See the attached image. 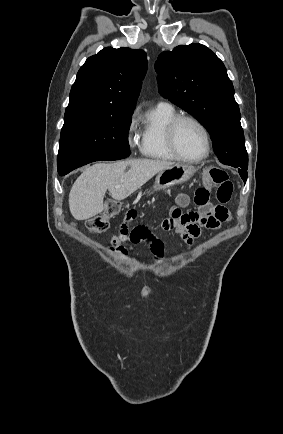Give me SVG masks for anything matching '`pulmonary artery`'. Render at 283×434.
Wrapping results in <instances>:
<instances>
[{
  "label": "pulmonary artery",
  "instance_id": "obj_1",
  "mask_svg": "<svg viewBox=\"0 0 283 434\" xmlns=\"http://www.w3.org/2000/svg\"><path fill=\"white\" fill-rule=\"evenodd\" d=\"M158 106H172V105L167 101H159Z\"/></svg>",
  "mask_w": 283,
  "mask_h": 434
}]
</instances>
